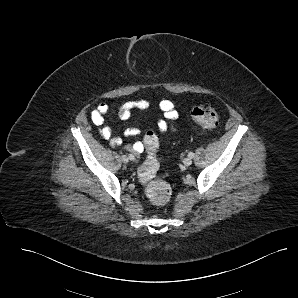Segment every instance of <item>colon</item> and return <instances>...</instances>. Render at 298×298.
Returning <instances> with one entry per match:
<instances>
[{
  "instance_id": "1",
  "label": "colon",
  "mask_w": 298,
  "mask_h": 298,
  "mask_svg": "<svg viewBox=\"0 0 298 298\" xmlns=\"http://www.w3.org/2000/svg\"><path fill=\"white\" fill-rule=\"evenodd\" d=\"M192 119L202 128L213 130L218 126L219 115L217 110L209 105H198L190 111ZM159 140L154 132H147L143 138V148L147 157L137 170V176L145 189L147 198L157 206L169 204L172 191L169 184L156 177L159 170V162L156 152Z\"/></svg>"
}]
</instances>
